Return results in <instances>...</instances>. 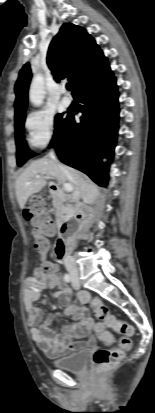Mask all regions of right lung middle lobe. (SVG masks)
<instances>
[{
	"label": "right lung middle lobe",
	"instance_id": "obj_1",
	"mask_svg": "<svg viewBox=\"0 0 155 413\" xmlns=\"http://www.w3.org/2000/svg\"><path fill=\"white\" fill-rule=\"evenodd\" d=\"M24 121H25V117L15 122L17 165L18 166H22L28 159L32 158L35 155L31 150H29V148L27 147L26 141L24 139V135H23ZM64 123H65V119L62 118V114L56 115L55 131H54L53 139L59 133Z\"/></svg>",
	"mask_w": 155,
	"mask_h": 413
}]
</instances>
